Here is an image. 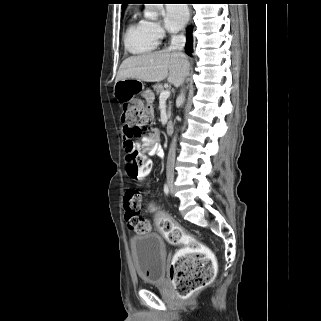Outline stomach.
I'll return each instance as SVG.
<instances>
[{"label": "stomach", "instance_id": "obj_1", "mask_svg": "<svg viewBox=\"0 0 321 321\" xmlns=\"http://www.w3.org/2000/svg\"><path fill=\"white\" fill-rule=\"evenodd\" d=\"M144 88L143 83L136 79L119 80L114 85L115 98L123 103L129 101L136 93Z\"/></svg>", "mask_w": 321, "mask_h": 321}]
</instances>
